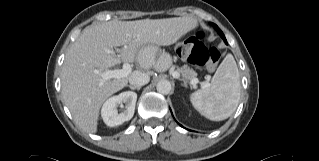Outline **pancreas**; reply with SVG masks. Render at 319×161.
<instances>
[{"label":"pancreas","instance_id":"pancreas-1","mask_svg":"<svg viewBox=\"0 0 319 161\" xmlns=\"http://www.w3.org/2000/svg\"><path fill=\"white\" fill-rule=\"evenodd\" d=\"M184 80H192L196 77L197 73L193 70L184 65L181 68H177L176 70Z\"/></svg>","mask_w":319,"mask_h":161}]
</instances>
